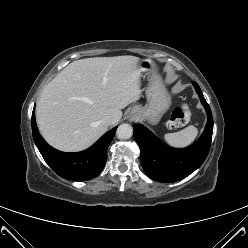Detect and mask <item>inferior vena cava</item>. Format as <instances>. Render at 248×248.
Here are the masks:
<instances>
[{
  "instance_id": "602c4592",
  "label": "inferior vena cava",
  "mask_w": 248,
  "mask_h": 248,
  "mask_svg": "<svg viewBox=\"0 0 248 248\" xmlns=\"http://www.w3.org/2000/svg\"><path fill=\"white\" fill-rule=\"evenodd\" d=\"M102 123L109 126V125H112L113 123V118L111 116H105L103 119H102Z\"/></svg>"
}]
</instances>
